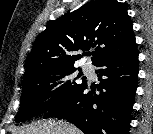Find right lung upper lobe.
<instances>
[{
	"label": "right lung upper lobe",
	"instance_id": "right-lung-upper-lobe-1",
	"mask_svg": "<svg viewBox=\"0 0 153 134\" xmlns=\"http://www.w3.org/2000/svg\"><path fill=\"white\" fill-rule=\"evenodd\" d=\"M135 43L132 23L123 3L116 0L89 2L50 21L36 38L26 63L25 78L60 67L74 66L82 58L77 51L96 47V65L106 56Z\"/></svg>",
	"mask_w": 153,
	"mask_h": 134
}]
</instances>
